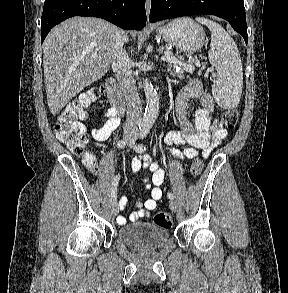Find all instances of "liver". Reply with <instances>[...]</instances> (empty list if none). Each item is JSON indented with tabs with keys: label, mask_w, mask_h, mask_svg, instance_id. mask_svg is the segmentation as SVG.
I'll use <instances>...</instances> for the list:
<instances>
[{
	"label": "liver",
	"mask_w": 288,
	"mask_h": 293,
	"mask_svg": "<svg viewBox=\"0 0 288 293\" xmlns=\"http://www.w3.org/2000/svg\"><path fill=\"white\" fill-rule=\"evenodd\" d=\"M121 32L115 25L94 17H72L49 32L44 41L43 65L47 103L54 116L107 73ZM124 36L127 42L125 33Z\"/></svg>",
	"instance_id": "1"
}]
</instances>
